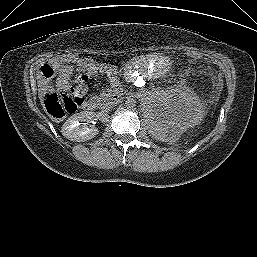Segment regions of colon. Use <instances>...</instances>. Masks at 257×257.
<instances>
[{"label": "colon", "mask_w": 257, "mask_h": 257, "mask_svg": "<svg viewBox=\"0 0 257 257\" xmlns=\"http://www.w3.org/2000/svg\"><path fill=\"white\" fill-rule=\"evenodd\" d=\"M188 59L193 62L200 61L202 55L196 51L187 53ZM98 70V67L92 65L84 70L78 77L75 83L61 91L60 93H48L45 96V107L50 116L55 119H60L66 113L75 112L85 101L87 93V81L90 74ZM41 75L47 80H55L56 74L54 69L49 65H44L41 68Z\"/></svg>", "instance_id": "colon-1"}]
</instances>
